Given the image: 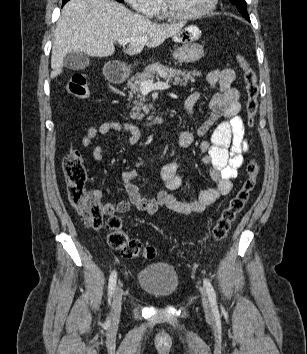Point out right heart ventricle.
Segmentation results:
<instances>
[{"mask_svg":"<svg viewBox=\"0 0 307 354\" xmlns=\"http://www.w3.org/2000/svg\"><path fill=\"white\" fill-rule=\"evenodd\" d=\"M156 15L159 17V18H163L165 16V12L164 10L162 9V6H160L158 12L156 13Z\"/></svg>","mask_w":307,"mask_h":354,"instance_id":"right-heart-ventricle-1","label":"right heart ventricle"}]
</instances>
